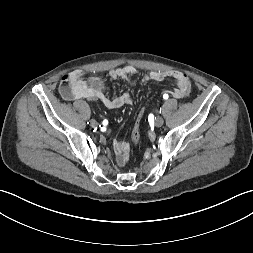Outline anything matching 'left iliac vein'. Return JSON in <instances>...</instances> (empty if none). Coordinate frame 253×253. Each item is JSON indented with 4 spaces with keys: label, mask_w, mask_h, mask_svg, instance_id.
<instances>
[{
    "label": "left iliac vein",
    "mask_w": 253,
    "mask_h": 253,
    "mask_svg": "<svg viewBox=\"0 0 253 253\" xmlns=\"http://www.w3.org/2000/svg\"><path fill=\"white\" fill-rule=\"evenodd\" d=\"M156 127H160L164 124V119L162 117H157L154 122Z\"/></svg>",
    "instance_id": "1"
}]
</instances>
